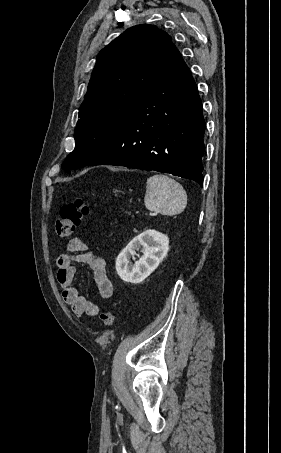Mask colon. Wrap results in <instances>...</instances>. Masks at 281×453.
<instances>
[{
	"instance_id": "1",
	"label": "colon",
	"mask_w": 281,
	"mask_h": 453,
	"mask_svg": "<svg viewBox=\"0 0 281 453\" xmlns=\"http://www.w3.org/2000/svg\"><path fill=\"white\" fill-rule=\"evenodd\" d=\"M90 201V197H81L62 204L60 216L55 221V231L58 236L69 237L83 223L88 214ZM115 315L114 309H103L100 315L101 327L111 328L115 322Z\"/></svg>"
}]
</instances>
